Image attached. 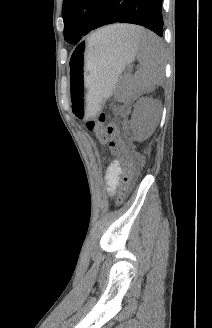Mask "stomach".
Instances as JSON below:
<instances>
[{"mask_svg":"<svg viewBox=\"0 0 212 328\" xmlns=\"http://www.w3.org/2000/svg\"><path fill=\"white\" fill-rule=\"evenodd\" d=\"M139 49L138 40L79 44L70 58L73 112L80 118L95 113L111 94L126 65Z\"/></svg>","mask_w":212,"mask_h":328,"instance_id":"obj_1","label":"stomach"}]
</instances>
